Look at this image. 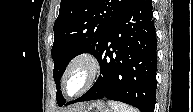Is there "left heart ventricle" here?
Here are the masks:
<instances>
[{
	"label": "left heart ventricle",
	"instance_id": "1",
	"mask_svg": "<svg viewBox=\"0 0 193 112\" xmlns=\"http://www.w3.org/2000/svg\"><path fill=\"white\" fill-rule=\"evenodd\" d=\"M87 78V71L83 66H77L70 73L67 80V90L70 94L78 92L84 85Z\"/></svg>",
	"mask_w": 193,
	"mask_h": 112
}]
</instances>
